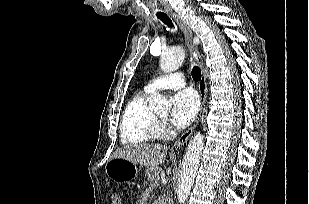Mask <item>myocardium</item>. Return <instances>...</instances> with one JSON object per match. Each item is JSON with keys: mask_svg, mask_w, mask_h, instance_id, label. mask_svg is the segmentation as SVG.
I'll list each match as a JSON object with an SVG mask.
<instances>
[{"mask_svg": "<svg viewBox=\"0 0 309 204\" xmlns=\"http://www.w3.org/2000/svg\"><path fill=\"white\" fill-rule=\"evenodd\" d=\"M161 122H163V119H159Z\"/></svg>", "mask_w": 309, "mask_h": 204, "instance_id": "f54148a6", "label": "myocardium"}]
</instances>
